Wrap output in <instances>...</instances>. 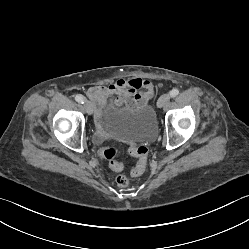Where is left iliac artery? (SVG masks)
<instances>
[{
    "mask_svg": "<svg viewBox=\"0 0 249 249\" xmlns=\"http://www.w3.org/2000/svg\"><path fill=\"white\" fill-rule=\"evenodd\" d=\"M179 94V90L174 88L170 91V96L171 97H176Z\"/></svg>",
    "mask_w": 249,
    "mask_h": 249,
    "instance_id": "obj_1",
    "label": "left iliac artery"
}]
</instances>
